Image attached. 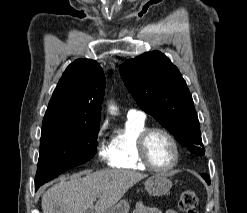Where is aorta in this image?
<instances>
[{
	"instance_id": "obj_1",
	"label": "aorta",
	"mask_w": 247,
	"mask_h": 213,
	"mask_svg": "<svg viewBox=\"0 0 247 213\" xmlns=\"http://www.w3.org/2000/svg\"><path fill=\"white\" fill-rule=\"evenodd\" d=\"M109 110L111 112V114H116L117 108L115 106H109Z\"/></svg>"
}]
</instances>
